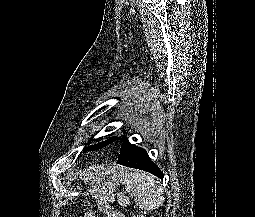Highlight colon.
Wrapping results in <instances>:
<instances>
[{
	"mask_svg": "<svg viewBox=\"0 0 255 217\" xmlns=\"http://www.w3.org/2000/svg\"><path fill=\"white\" fill-rule=\"evenodd\" d=\"M91 195L94 198L97 206L99 207L100 210L103 211L105 207V201L103 200V197L101 196V193L96 187L91 188ZM133 217H143L142 215L136 214Z\"/></svg>",
	"mask_w": 255,
	"mask_h": 217,
	"instance_id": "1",
	"label": "colon"
}]
</instances>
